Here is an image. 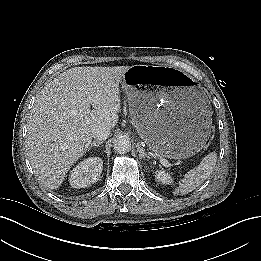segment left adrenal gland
Here are the masks:
<instances>
[{
	"label": "left adrenal gland",
	"mask_w": 261,
	"mask_h": 261,
	"mask_svg": "<svg viewBox=\"0 0 261 261\" xmlns=\"http://www.w3.org/2000/svg\"><path fill=\"white\" fill-rule=\"evenodd\" d=\"M137 151L139 152L140 159H145V158L150 159V157L147 155L145 150L140 145H137Z\"/></svg>",
	"instance_id": "obj_1"
}]
</instances>
